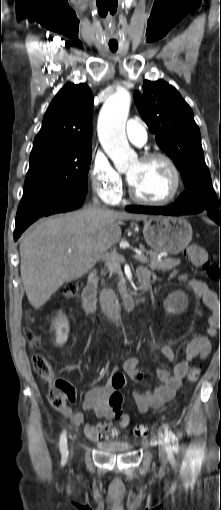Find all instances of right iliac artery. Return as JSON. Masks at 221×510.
<instances>
[{
  "label": "right iliac artery",
  "instance_id": "82829eb1",
  "mask_svg": "<svg viewBox=\"0 0 221 510\" xmlns=\"http://www.w3.org/2000/svg\"><path fill=\"white\" fill-rule=\"evenodd\" d=\"M59 446H60V451H61L62 455L67 457L68 449H67V437H66V432L65 431L62 432V434L60 436Z\"/></svg>",
  "mask_w": 221,
  "mask_h": 510
}]
</instances>
